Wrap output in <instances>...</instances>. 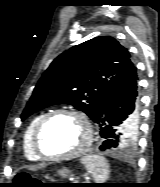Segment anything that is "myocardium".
Instances as JSON below:
<instances>
[{
	"instance_id": "myocardium-1",
	"label": "myocardium",
	"mask_w": 160,
	"mask_h": 187,
	"mask_svg": "<svg viewBox=\"0 0 160 187\" xmlns=\"http://www.w3.org/2000/svg\"><path fill=\"white\" fill-rule=\"evenodd\" d=\"M61 115L74 116V117H77L79 120H81V122L85 126L86 138H85V141L81 147H79L78 149H76L70 153L51 154V153L46 152L42 148L43 132H44V129L47 126V124L52 119H54L57 116H61ZM92 141H93V128H92V124H91L89 118L84 113H82L78 110H74V109H59V110H54V111H51V112L45 114L41 118V120L38 122V124L34 130V134H33L34 149H35L36 153L41 157V159L46 160V161H60V160H69V159L77 158V157L85 154L89 150V148L92 144Z\"/></svg>"
}]
</instances>
